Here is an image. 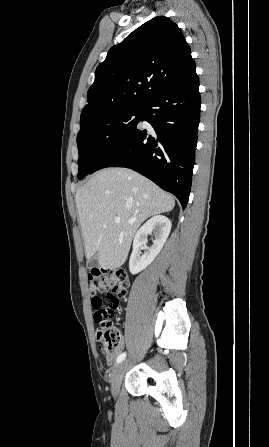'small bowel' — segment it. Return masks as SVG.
I'll use <instances>...</instances> for the list:
<instances>
[{"label":"small bowel","mask_w":269,"mask_h":447,"mask_svg":"<svg viewBox=\"0 0 269 447\" xmlns=\"http://www.w3.org/2000/svg\"><path fill=\"white\" fill-rule=\"evenodd\" d=\"M123 345H124V342H122L120 348H119L116 352H114V353H112V354H110V355H108V356L106 357V363H107L108 365L113 364V362L115 361L116 357L119 355L121 349L123 348Z\"/></svg>","instance_id":"1"}]
</instances>
